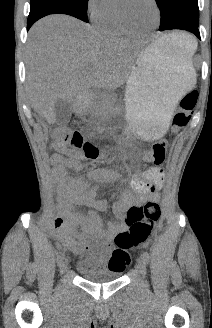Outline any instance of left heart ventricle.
Here are the masks:
<instances>
[{
  "instance_id": "1",
  "label": "left heart ventricle",
  "mask_w": 212,
  "mask_h": 328,
  "mask_svg": "<svg viewBox=\"0 0 212 328\" xmlns=\"http://www.w3.org/2000/svg\"><path fill=\"white\" fill-rule=\"evenodd\" d=\"M121 6L128 21L136 28L145 29L156 23V10L150 0H122Z\"/></svg>"
}]
</instances>
